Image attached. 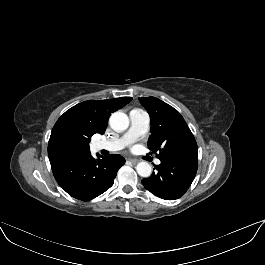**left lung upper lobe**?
<instances>
[{
	"label": "left lung upper lobe",
	"instance_id": "left-lung-upper-lobe-1",
	"mask_svg": "<svg viewBox=\"0 0 265 265\" xmlns=\"http://www.w3.org/2000/svg\"><path fill=\"white\" fill-rule=\"evenodd\" d=\"M150 115L148 148L157 158L198 155L196 140L181 114L156 97L139 98Z\"/></svg>",
	"mask_w": 265,
	"mask_h": 265
}]
</instances>
